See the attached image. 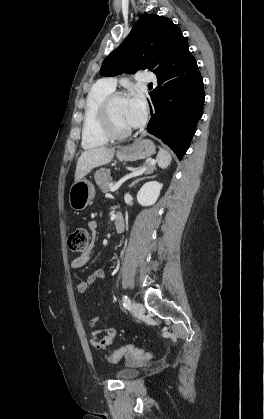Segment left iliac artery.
<instances>
[{
	"label": "left iliac artery",
	"mask_w": 264,
	"mask_h": 419,
	"mask_svg": "<svg viewBox=\"0 0 264 419\" xmlns=\"http://www.w3.org/2000/svg\"><path fill=\"white\" fill-rule=\"evenodd\" d=\"M122 300H123V306L126 309H129L131 307V300L129 299V297L127 295H123Z\"/></svg>",
	"instance_id": "obj_1"
}]
</instances>
